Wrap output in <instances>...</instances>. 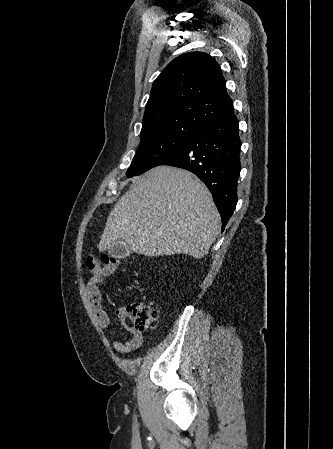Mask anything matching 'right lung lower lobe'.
Here are the masks:
<instances>
[{"label":"right lung lower lobe","instance_id":"right-lung-lower-lobe-1","mask_svg":"<svg viewBox=\"0 0 333 449\" xmlns=\"http://www.w3.org/2000/svg\"><path fill=\"white\" fill-rule=\"evenodd\" d=\"M240 147L238 120L233 111L201 128L156 166L184 168L199 177L212 193L223 231L237 203Z\"/></svg>","mask_w":333,"mask_h":449}]
</instances>
